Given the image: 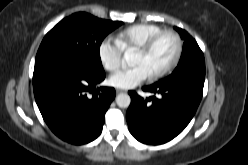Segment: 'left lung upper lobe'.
<instances>
[{"mask_svg":"<svg viewBox=\"0 0 248 165\" xmlns=\"http://www.w3.org/2000/svg\"><path fill=\"white\" fill-rule=\"evenodd\" d=\"M174 28L180 33L182 39L184 40L182 55L177 67L173 70V72L169 76L159 80L156 83L172 80L176 81L186 78L192 74L205 75L204 55L196 40L185 30L178 27Z\"/></svg>","mask_w":248,"mask_h":165,"instance_id":"1","label":"left lung upper lobe"}]
</instances>
